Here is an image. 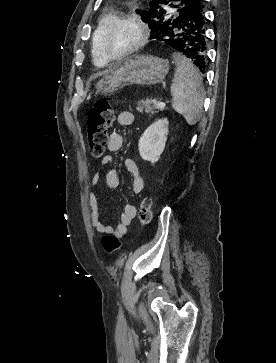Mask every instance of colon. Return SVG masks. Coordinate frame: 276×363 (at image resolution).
<instances>
[{"instance_id":"colon-1","label":"colon","mask_w":276,"mask_h":363,"mask_svg":"<svg viewBox=\"0 0 276 363\" xmlns=\"http://www.w3.org/2000/svg\"><path fill=\"white\" fill-rule=\"evenodd\" d=\"M114 119V108L107 100H99L92 106L87 114L88 144L92 156L100 158L105 153L107 131ZM152 202L150 198H144L139 205V218L143 226H147L152 220ZM104 249L114 251L120 246L117 237L106 235L103 238Z\"/></svg>"}]
</instances>
